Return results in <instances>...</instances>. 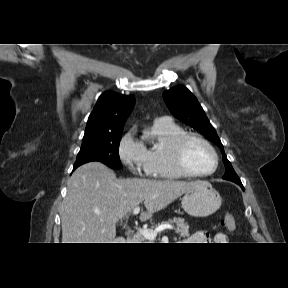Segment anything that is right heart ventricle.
I'll return each instance as SVG.
<instances>
[{"mask_svg":"<svg viewBox=\"0 0 288 288\" xmlns=\"http://www.w3.org/2000/svg\"><path fill=\"white\" fill-rule=\"evenodd\" d=\"M184 130L172 121H155L149 130V137L154 140L147 151L146 169L150 176L163 179L186 177L172 164L170 147L172 142Z\"/></svg>","mask_w":288,"mask_h":288,"instance_id":"obj_1","label":"right heart ventricle"}]
</instances>
